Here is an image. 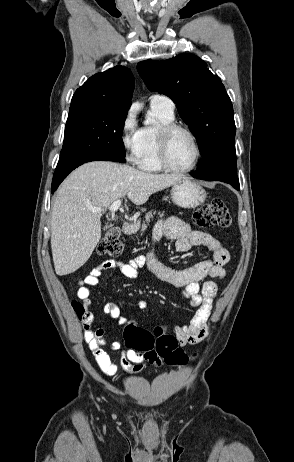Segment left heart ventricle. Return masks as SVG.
I'll return each mask as SVG.
<instances>
[{
	"instance_id": "b2bd125f",
	"label": "left heart ventricle",
	"mask_w": 294,
	"mask_h": 462,
	"mask_svg": "<svg viewBox=\"0 0 294 462\" xmlns=\"http://www.w3.org/2000/svg\"><path fill=\"white\" fill-rule=\"evenodd\" d=\"M195 156V147L191 138L182 131L176 132L169 143V161L176 168L191 165Z\"/></svg>"
}]
</instances>
